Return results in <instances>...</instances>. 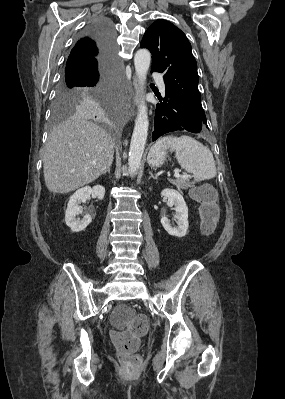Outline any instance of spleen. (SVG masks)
Returning a JSON list of instances; mask_svg holds the SVG:
<instances>
[{"label": "spleen", "instance_id": "3e777b00", "mask_svg": "<svg viewBox=\"0 0 285 399\" xmlns=\"http://www.w3.org/2000/svg\"><path fill=\"white\" fill-rule=\"evenodd\" d=\"M163 143L175 150L178 163L193 175L196 182L216 176L217 170L212 152L196 139L187 135L178 138L167 137L158 141L156 145Z\"/></svg>", "mask_w": 285, "mask_h": 399}]
</instances>
